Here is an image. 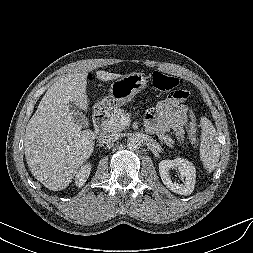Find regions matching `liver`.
Segmentation results:
<instances>
[{
	"label": "liver",
	"mask_w": 253,
	"mask_h": 253,
	"mask_svg": "<svg viewBox=\"0 0 253 253\" xmlns=\"http://www.w3.org/2000/svg\"><path fill=\"white\" fill-rule=\"evenodd\" d=\"M88 70H75L57 80L41 99L25 132V157L32 175L52 191L65 189L94 150L95 133L73 120L71 104L87 110ZM120 74L97 71L110 81Z\"/></svg>",
	"instance_id": "liver-1"
}]
</instances>
